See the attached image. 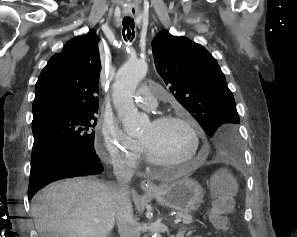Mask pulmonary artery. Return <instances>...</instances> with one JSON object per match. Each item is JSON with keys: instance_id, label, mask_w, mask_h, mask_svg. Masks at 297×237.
<instances>
[{"instance_id": "1", "label": "pulmonary artery", "mask_w": 297, "mask_h": 237, "mask_svg": "<svg viewBox=\"0 0 297 237\" xmlns=\"http://www.w3.org/2000/svg\"><path fill=\"white\" fill-rule=\"evenodd\" d=\"M159 97V90L153 89L151 85H143L137 91L135 102L141 107L153 108L156 106Z\"/></svg>"}]
</instances>
